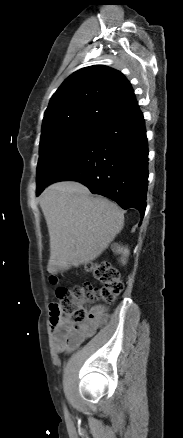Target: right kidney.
Wrapping results in <instances>:
<instances>
[{"label": "right kidney", "mask_w": 183, "mask_h": 438, "mask_svg": "<svg viewBox=\"0 0 183 438\" xmlns=\"http://www.w3.org/2000/svg\"><path fill=\"white\" fill-rule=\"evenodd\" d=\"M116 252H118V253H123L124 256H127V255L129 254L128 249H124V250H123V248H120V247L116 250ZM123 263H125L124 260H123Z\"/></svg>", "instance_id": "obj_1"}]
</instances>
